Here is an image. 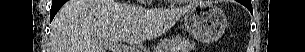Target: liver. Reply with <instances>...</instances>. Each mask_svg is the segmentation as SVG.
Returning a JSON list of instances; mask_svg holds the SVG:
<instances>
[{
  "instance_id": "1",
  "label": "liver",
  "mask_w": 305,
  "mask_h": 52,
  "mask_svg": "<svg viewBox=\"0 0 305 52\" xmlns=\"http://www.w3.org/2000/svg\"><path fill=\"white\" fill-rule=\"evenodd\" d=\"M193 5L144 9L113 0H69L51 24V52H106L109 42L141 44L169 30Z\"/></svg>"
}]
</instances>
